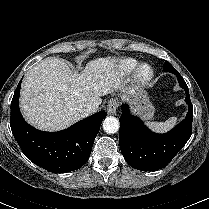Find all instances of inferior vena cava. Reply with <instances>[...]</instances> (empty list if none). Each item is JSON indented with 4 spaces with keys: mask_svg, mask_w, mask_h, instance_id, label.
Masks as SVG:
<instances>
[{
    "mask_svg": "<svg viewBox=\"0 0 209 209\" xmlns=\"http://www.w3.org/2000/svg\"><path fill=\"white\" fill-rule=\"evenodd\" d=\"M97 108H98V107L95 106V105H87V106L83 109V111H84V113H85L86 115H90L91 113L96 112Z\"/></svg>",
    "mask_w": 209,
    "mask_h": 209,
    "instance_id": "1",
    "label": "inferior vena cava"
}]
</instances>
